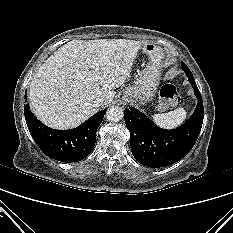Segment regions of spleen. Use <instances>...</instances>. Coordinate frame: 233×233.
Instances as JSON below:
<instances>
[{
	"instance_id": "spleen-1",
	"label": "spleen",
	"mask_w": 233,
	"mask_h": 233,
	"mask_svg": "<svg viewBox=\"0 0 233 233\" xmlns=\"http://www.w3.org/2000/svg\"><path fill=\"white\" fill-rule=\"evenodd\" d=\"M187 113L183 108H177L174 111L162 114H154L153 121L159 127L173 129L180 126L186 119Z\"/></svg>"
}]
</instances>
